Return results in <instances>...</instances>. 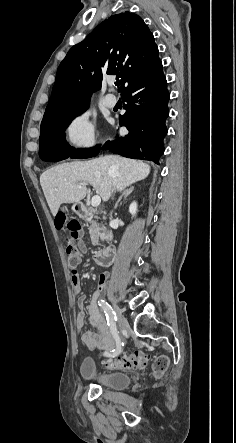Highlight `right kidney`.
I'll return each mask as SVG.
<instances>
[{"mask_svg": "<svg viewBox=\"0 0 236 443\" xmlns=\"http://www.w3.org/2000/svg\"><path fill=\"white\" fill-rule=\"evenodd\" d=\"M129 212L131 213V215H135L137 212V203L136 202H132L129 206Z\"/></svg>", "mask_w": 236, "mask_h": 443, "instance_id": "right-kidney-1", "label": "right kidney"}]
</instances>
